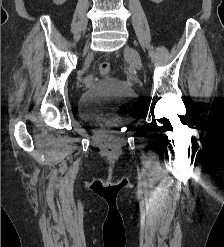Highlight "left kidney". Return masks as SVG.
I'll list each match as a JSON object with an SVG mask.
<instances>
[{
    "instance_id": "5707ae66",
    "label": "left kidney",
    "mask_w": 224,
    "mask_h": 247,
    "mask_svg": "<svg viewBox=\"0 0 224 247\" xmlns=\"http://www.w3.org/2000/svg\"><path fill=\"white\" fill-rule=\"evenodd\" d=\"M151 2H155V4H160V2H163V0H151Z\"/></svg>"
}]
</instances>
